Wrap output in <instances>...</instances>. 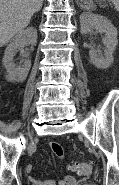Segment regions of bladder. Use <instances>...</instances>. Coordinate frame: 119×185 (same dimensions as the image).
<instances>
[{
	"label": "bladder",
	"mask_w": 119,
	"mask_h": 185,
	"mask_svg": "<svg viewBox=\"0 0 119 185\" xmlns=\"http://www.w3.org/2000/svg\"><path fill=\"white\" fill-rule=\"evenodd\" d=\"M80 185H96V184H94L92 182H84V183H81Z\"/></svg>",
	"instance_id": "1"
}]
</instances>
